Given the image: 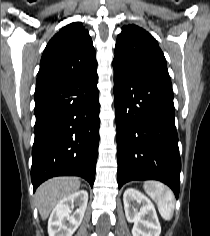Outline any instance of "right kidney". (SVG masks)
<instances>
[{"instance_id": "obj_1", "label": "right kidney", "mask_w": 210, "mask_h": 236, "mask_svg": "<svg viewBox=\"0 0 210 236\" xmlns=\"http://www.w3.org/2000/svg\"><path fill=\"white\" fill-rule=\"evenodd\" d=\"M88 202V192L80 190L62 199L48 220L49 236H72L82 222ZM74 204L78 206L72 214Z\"/></svg>"}]
</instances>
